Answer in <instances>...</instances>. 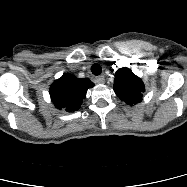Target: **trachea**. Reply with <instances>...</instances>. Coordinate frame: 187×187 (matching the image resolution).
<instances>
[{"instance_id": "3493384b", "label": "trachea", "mask_w": 187, "mask_h": 187, "mask_svg": "<svg viewBox=\"0 0 187 187\" xmlns=\"http://www.w3.org/2000/svg\"><path fill=\"white\" fill-rule=\"evenodd\" d=\"M91 71L94 75H100L102 72V68L99 64L95 63L91 66Z\"/></svg>"}]
</instances>
